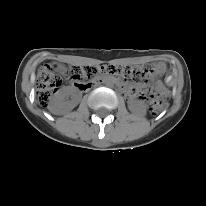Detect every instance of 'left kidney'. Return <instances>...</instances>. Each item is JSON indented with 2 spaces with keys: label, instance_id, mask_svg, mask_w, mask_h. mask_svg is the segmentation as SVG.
I'll return each mask as SVG.
<instances>
[{
  "label": "left kidney",
  "instance_id": "5707ae66",
  "mask_svg": "<svg viewBox=\"0 0 206 206\" xmlns=\"http://www.w3.org/2000/svg\"><path fill=\"white\" fill-rule=\"evenodd\" d=\"M129 110L133 113H144V105L139 100H133L129 103Z\"/></svg>",
  "mask_w": 206,
  "mask_h": 206
}]
</instances>
